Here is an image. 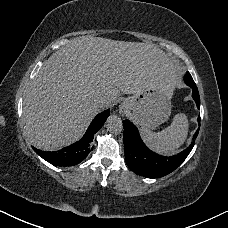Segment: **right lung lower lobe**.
Masks as SVG:
<instances>
[{"instance_id": "98d812e1", "label": "right lung lower lobe", "mask_w": 228, "mask_h": 228, "mask_svg": "<svg viewBox=\"0 0 228 228\" xmlns=\"http://www.w3.org/2000/svg\"><path fill=\"white\" fill-rule=\"evenodd\" d=\"M109 114L110 109L98 114L90 124L83 138L71 146L65 147L57 152H44L34 147L33 149L40 157L53 165L70 166L78 164L84 160L93 149L90 143L93 140L94 134L101 129Z\"/></svg>"}]
</instances>
